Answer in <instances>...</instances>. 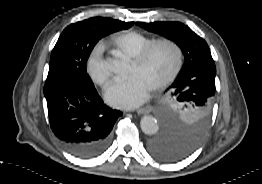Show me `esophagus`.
Segmentation results:
<instances>
[{
    "instance_id": "obj_1",
    "label": "esophagus",
    "mask_w": 262,
    "mask_h": 184,
    "mask_svg": "<svg viewBox=\"0 0 262 184\" xmlns=\"http://www.w3.org/2000/svg\"><path fill=\"white\" fill-rule=\"evenodd\" d=\"M153 111V107L151 105H147L145 107L137 109L138 114H148Z\"/></svg>"
}]
</instances>
